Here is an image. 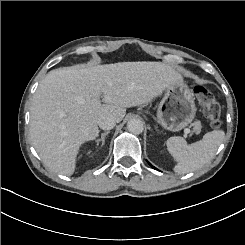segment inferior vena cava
<instances>
[{
  "label": "inferior vena cava",
  "mask_w": 245,
  "mask_h": 245,
  "mask_svg": "<svg viewBox=\"0 0 245 245\" xmlns=\"http://www.w3.org/2000/svg\"><path fill=\"white\" fill-rule=\"evenodd\" d=\"M115 123V117L110 114H102L98 119V125L103 130L112 129L115 126Z\"/></svg>",
  "instance_id": "602c4592"
}]
</instances>
